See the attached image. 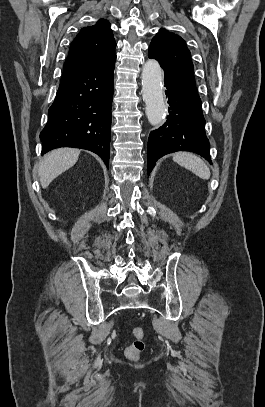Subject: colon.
Here are the masks:
<instances>
[{"instance_id":"colon-1","label":"colon","mask_w":265,"mask_h":407,"mask_svg":"<svg viewBox=\"0 0 265 407\" xmlns=\"http://www.w3.org/2000/svg\"><path fill=\"white\" fill-rule=\"evenodd\" d=\"M145 330L142 326H136L132 330V343L125 349V355L128 359L135 360L145 350Z\"/></svg>"}]
</instances>
